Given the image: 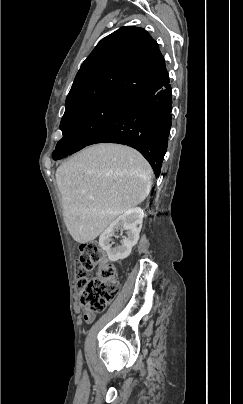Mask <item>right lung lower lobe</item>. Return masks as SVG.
Returning a JSON list of instances; mask_svg holds the SVG:
<instances>
[{"label":"right lung lower lobe","instance_id":"1","mask_svg":"<svg viewBox=\"0 0 243 404\" xmlns=\"http://www.w3.org/2000/svg\"><path fill=\"white\" fill-rule=\"evenodd\" d=\"M169 82L168 78L161 88L128 99L91 144L112 142L133 147L148 160L158 176L171 128L172 94Z\"/></svg>","mask_w":243,"mask_h":404}]
</instances>
